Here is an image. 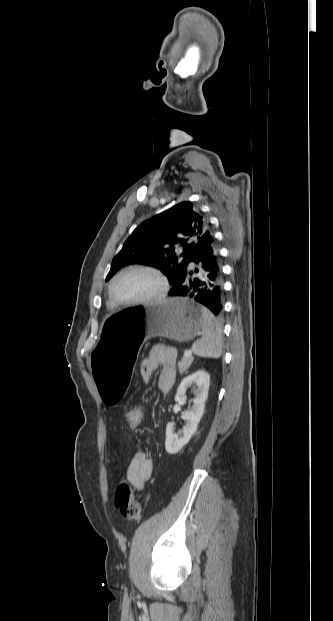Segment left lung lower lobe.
<instances>
[{"label": "left lung lower lobe", "mask_w": 333, "mask_h": 621, "mask_svg": "<svg viewBox=\"0 0 333 621\" xmlns=\"http://www.w3.org/2000/svg\"><path fill=\"white\" fill-rule=\"evenodd\" d=\"M222 284L219 250L208 229L197 241L169 295L191 298L218 316L223 310Z\"/></svg>", "instance_id": "0a47b994"}]
</instances>
